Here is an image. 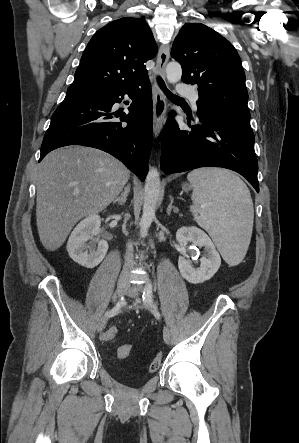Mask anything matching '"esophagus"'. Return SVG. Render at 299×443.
Returning a JSON list of instances; mask_svg holds the SVG:
<instances>
[{
  "mask_svg": "<svg viewBox=\"0 0 299 443\" xmlns=\"http://www.w3.org/2000/svg\"><path fill=\"white\" fill-rule=\"evenodd\" d=\"M170 56V45L162 44L157 55V71L160 75L165 76V67ZM153 133L157 138L166 121L167 103L166 98L158 85H153Z\"/></svg>",
  "mask_w": 299,
  "mask_h": 443,
  "instance_id": "34e87169",
  "label": "esophagus"
}]
</instances>
